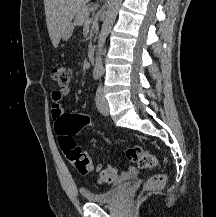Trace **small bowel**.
Here are the masks:
<instances>
[{"mask_svg": "<svg viewBox=\"0 0 216 217\" xmlns=\"http://www.w3.org/2000/svg\"><path fill=\"white\" fill-rule=\"evenodd\" d=\"M70 89L67 87L55 90L51 93V117L55 122V128H57L58 123L64 117V109L61 105L62 99L64 96L68 95ZM90 143L97 144L96 139H91ZM136 173V169L134 167H129L126 172L122 175L118 176L112 184H118L124 179L130 178L133 174Z\"/></svg>", "mask_w": 216, "mask_h": 217, "instance_id": "1", "label": "small bowel"}]
</instances>
